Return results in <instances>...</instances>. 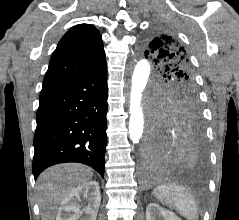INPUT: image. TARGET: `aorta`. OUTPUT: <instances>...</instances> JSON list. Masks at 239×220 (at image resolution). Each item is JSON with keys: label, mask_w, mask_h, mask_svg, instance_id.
Wrapping results in <instances>:
<instances>
[{"label": "aorta", "mask_w": 239, "mask_h": 220, "mask_svg": "<svg viewBox=\"0 0 239 220\" xmlns=\"http://www.w3.org/2000/svg\"><path fill=\"white\" fill-rule=\"evenodd\" d=\"M133 70L130 92L129 138L138 143L144 131V113L141 105L142 93L151 83V68L145 59H140L131 65Z\"/></svg>", "instance_id": "762f6f07"}]
</instances>
